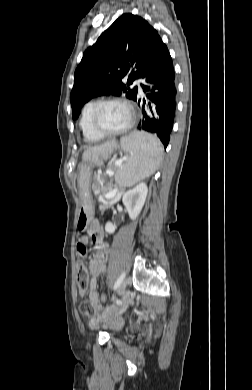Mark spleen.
<instances>
[{
  "instance_id": "3e777b00",
  "label": "spleen",
  "mask_w": 252,
  "mask_h": 390,
  "mask_svg": "<svg viewBox=\"0 0 252 390\" xmlns=\"http://www.w3.org/2000/svg\"><path fill=\"white\" fill-rule=\"evenodd\" d=\"M121 146L129 158L115 173L120 186L130 187L149 177L161 162L163 148L155 135L135 131L121 139Z\"/></svg>"
}]
</instances>
